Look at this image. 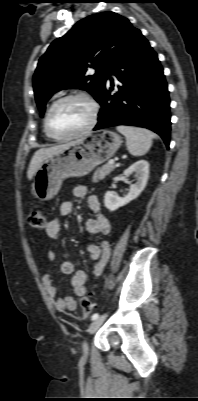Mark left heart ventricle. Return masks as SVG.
<instances>
[{
  "label": "left heart ventricle",
  "mask_w": 198,
  "mask_h": 401,
  "mask_svg": "<svg viewBox=\"0 0 198 401\" xmlns=\"http://www.w3.org/2000/svg\"><path fill=\"white\" fill-rule=\"evenodd\" d=\"M90 119V106L83 100L70 99L54 109L50 126L56 136H68L83 129Z\"/></svg>",
  "instance_id": "1"
}]
</instances>
